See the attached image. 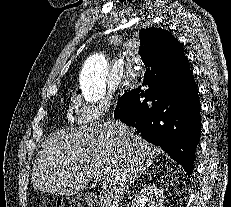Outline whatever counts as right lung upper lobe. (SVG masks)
Wrapping results in <instances>:
<instances>
[{"mask_svg":"<svg viewBox=\"0 0 231 207\" xmlns=\"http://www.w3.org/2000/svg\"><path fill=\"white\" fill-rule=\"evenodd\" d=\"M151 29L146 37L140 39L139 54L146 67L180 71L188 66L183 45L168 31Z\"/></svg>","mask_w":231,"mask_h":207,"instance_id":"cb5924a9","label":"right lung upper lobe"}]
</instances>
